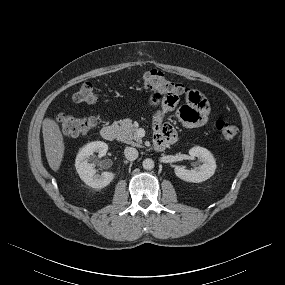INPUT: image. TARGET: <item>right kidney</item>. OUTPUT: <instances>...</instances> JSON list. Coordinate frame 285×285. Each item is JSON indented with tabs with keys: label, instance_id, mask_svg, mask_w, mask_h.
Masks as SVG:
<instances>
[{
	"label": "right kidney",
	"instance_id": "obj_1",
	"mask_svg": "<svg viewBox=\"0 0 285 285\" xmlns=\"http://www.w3.org/2000/svg\"><path fill=\"white\" fill-rule=\"evenodd\" d=\"M107 151L108 145L106 143L102 141H94L82 147L76 156V171L81 180L92 188H104L108 186L115 178V174L112 172H103L101 175H98L93 165L89 163L91 155H93L95 152L98 153L99 157H103L106 155Z\"/></svg>",
	"mask_w": 285,
	"mask_h": 285
}]
</instances>
